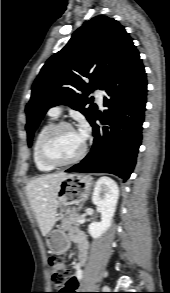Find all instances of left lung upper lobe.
Instances as JSON below:
<instances>
[{"label": "left lung upper lobe", "mask_w": 170, "mask_h": 293, "mask_svg": "<svg viewBox=\"0 0 170 293\" xmlns=\"http://www.w3.org/2000/svg\"><path fill=\"white\" fill-rule=\"evenodd\" d=\"M132 46L129 34L113 18L96 16L77 29L66 46L47 60L32 86L26 106L28 145L50 107L67 104L91 122L97 106L88 94L103 89Z\"/></svg>", "instance_id": "5c2ea615"}]
</instances>
